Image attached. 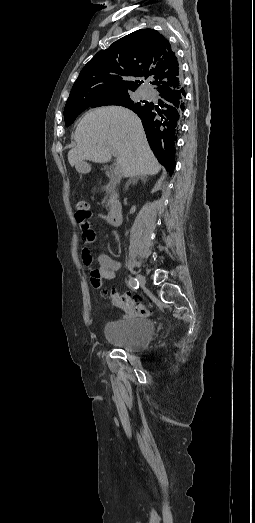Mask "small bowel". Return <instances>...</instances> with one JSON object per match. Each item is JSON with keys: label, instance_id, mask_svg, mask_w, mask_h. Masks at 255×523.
I'll use <instances>...</instances> for the list:
<instances>
[{"label": "small bowel", "instance_id": "obj_1", "mask_svg": "<svg viewBox=\"0 0 255 523\" xmlns=\"http://www.w3.org/2000/svg\"><path fill=\"white\" fill-rule=\"evenodd\" d=\"M99 218H104L103 215L98 214ZM82 229V243L83 248L81 250V258L85 266L90 271L91 275L95 274L98 278L113 280L115 279L117 272L121 269L120 262L113 259L108 254L102 253L98 256L97 267H93L92 257L90 255L88 246L94 242L96 233L91 227L89 222L80 224Z\"/></svg>", "mask_w": 255, "mask_h": 523}]
</instances>
